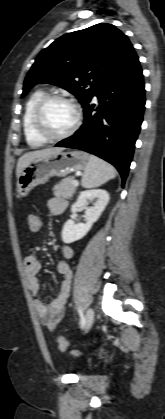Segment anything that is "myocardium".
Here are the masks:
<instances>
[{"label":"myocardium","instance_id":"obj_1","mask_svg":"<svg viewBox=\"0 0 165 419\" xmlns=\"http://www.w3.org/2000/svg\"><path fill=\"white\" fill-rule=\"evenodd\" d=\"M52 101H62L70 104L74 109L75 119L71 127L64 133L53 135L50 134L43 121V111L46 105ZM33 127L36 133L46 141H60L73 135L79 128L81 123V110L79 105L70 97L61 94H47L44 95L35 105L32 115Z\"/></svg>","mask_w":165,"mask_h":419}]
</instances>
